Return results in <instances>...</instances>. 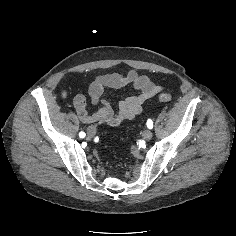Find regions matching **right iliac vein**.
<instances>
[{"instance_id": "1", "label": "right iliac vein", "mask_w": 236, "mask_h": 236, "mask_svg": "<svg viewBox=\"0 0 236 236\" xmlns=\"http://www.w3.org/2000/svg\"><path fill=\"white\" fill-rule=\"evenodd\" d=\"M95 133H96V128L94 126L88 127V129H87V136L89 138H92L95 135Z\"/></svg>"}]
</instances>
